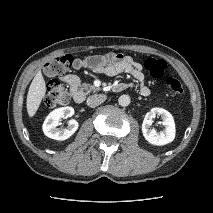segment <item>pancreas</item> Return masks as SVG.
I'll return each mask as SVG.
<instances>
[{
	"label": "pancreas",
	"mask_w": 213,
	"mask_h": 213,
	"mask_svg": "<svg viewBox=\"0 0 213 213\" xmlns=\"http://www.w3.org/2000/svg\"><path fill=\"white\" fill-rule=\"evenodd\" d=\"M83 89H85L87 92H96L99 90V88H96L93 85H89L88 83L83 84Z\"/></svg>",
	"instance_id": "1"
}]
</instances>
